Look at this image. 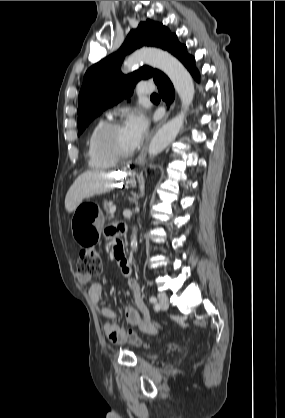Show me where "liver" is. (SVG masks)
<instances>
[{
  "label": "liver",
  "instance_id": "liver-1",
  "mask_svg": "<svg viewBox=\"0 0 285 418\" xmlns=\"http://www.w3.org/2000/svg\"><path fill=\"white\" fill-rule=\"evenodd\" d=\"M114 178L113 173L99 170H89L79 175L66 194V211L71 213L85 198L107 192L114 186Z\"/></svg>",
  "mask_w": 285,
  "mask_h": 418
}]
</instances>
